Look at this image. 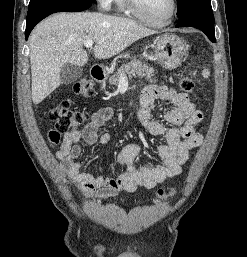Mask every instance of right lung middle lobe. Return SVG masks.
<instances>
[{
	"label": "right lung middle lobe",
	"instance_id": "right-lung-middle-lobe-1",
	"mask_svg": "<svg viewBox=\"0 0 247 257\" xmlns=\"http://www.w3.org/2000/svg\"><path fill=\"white\" fill-rule=\"evenodd\" d=\"M55 1H72V2H80V3H93L95 0H30L29 7L36 6L41 3L46 2H55Z\"/></svg>",
	"mask_w": 247,
	"mask_h": 257
}]
</instances>
